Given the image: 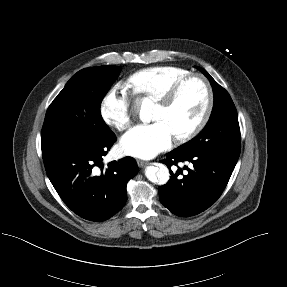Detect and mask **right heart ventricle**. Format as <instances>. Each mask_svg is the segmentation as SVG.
<instances>
[{
    "mask_svg": "<svg viewBox=\"0 0 287 287\" xmlns=\"http://www.w3.org/2000/svg\"><path fill=\"white\" fill-rule=\"evenodd\" d=\"M188 74L190 71L176 66L150 67L133 73L128 78V87L137 96L157 101Z\"/></svg>",
    "mask_w": 287,
    "mask_h": 287,
    "instance_id": "right-heart-ventricle-1",
    "label": "right heart ventricle"
}]
</instances>
